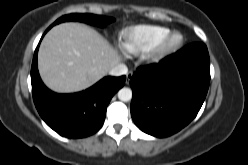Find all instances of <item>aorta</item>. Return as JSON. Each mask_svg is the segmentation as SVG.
Instances as JSON below:
<instances>
[{"instance_id":"762f6f07","label":"aorta","mask_w":248,"mask_h":165,"mask_svg":"<svg viewBox=\"0 0 248 165\" xmlns=\"http://www.w3.org/2000/svg\"><path fill=\"white\" fill-rule=\"evenodd\" d=\"M118 98L123 102L130 101L132 99V90L129 88H122L118 91Z\"/></svg>"}]
</instances>
